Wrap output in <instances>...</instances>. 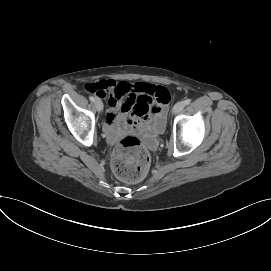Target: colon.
Segmentation results:
<instances>
[{"label":"colon","mask_w":271,"mask_h":271,"mask_svg":"<svg viewBox=\"0 0 271 271\" xmlns=\"http://www.w3.org/2000/svg\"><path fill=\"white\" fill-rule=\"evenodd\" d=\"M87 89L98 94L101 90L99 83L90 84ZM165 98L164 94H160ZM150 154L135 136L124 137L112 157V170L122 181L135 183L142 180L150 167Z\"/></svg>","instance_id":"colon-1"}]
</instances>
